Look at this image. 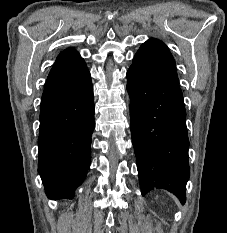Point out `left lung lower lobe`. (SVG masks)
<instances>
[{
  "label": "left lung lower lobe",
  "mask_w": 227,
  "mask_h": 233,
  "mask_svg": "<svg viewBox=\"0 0 227 233\" xmlns=\"http://www.w3.org/2000/svg\"><path fill=\"white\" fill-rule=\"evenodd\" d=\"M127 80L141 192L165 189L184 204L190 169L182 91L134 68L127 71Z\"/></svg>",
  "instance_id": "1"
}]
</instances>
